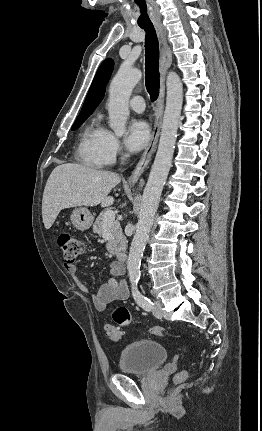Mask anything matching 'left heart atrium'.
<instances>
[{
  "mask_svg": "<svg viewBox=\"0 0 262 431\" xmlns=\"http://www.w3.org/2000/svg\"><path fill=\"white\" fill-rule=\"evenodd\" d=\"M149 134V126L146 122L142 120L131 121L125 137L126 146L132 152L140 151L148 142Z\"/></svg>",
  "mask_w": 262,
  "mask_h": 431,
  "instance_id": "39dd6f15",
  "label": "left heart atrium"
}]
</instances>
